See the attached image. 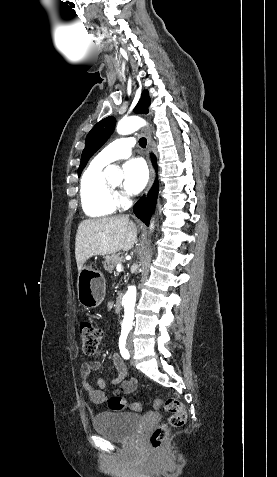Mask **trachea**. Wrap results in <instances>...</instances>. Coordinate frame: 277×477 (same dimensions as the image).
<instances>
[{
    "label": "trachea",
    "mask_w": 277,
    "mask_h": 477,
    "mask_svg": "<svg viewBox=\"0 0 277 477\" xmlns=\"http://www.w3.org/2000/svg\"><path fill=\"white\" fill-rule=\"evenodd\" d=\"M139 144H140V146H141L142 148H145V147H146V144H147L146 139H145V138H141V139L139 140Z\"/></svg>",
    "instance_id": "3493384b"
}]
</instances>
